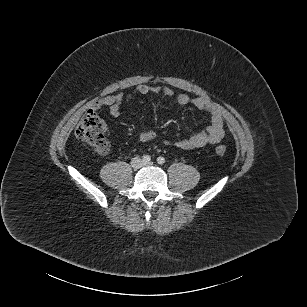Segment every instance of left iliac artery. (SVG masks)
Instances as JSON below:
<instances>
[{"label":"left iliac artery","instance_id":"44dca946","mask_svg":"<svg viewBox=\"0 0 307 307\" xmlns=\"http://www.w3.org/2000/svg\"><path fill=\"white\" fill-rule=\"evenodd\" d=\"M157 163L160 164V165H163L165 163V158L164 157H158Z\"/></svg>","mask_w":307,"mask_h":307}]
</instances>
